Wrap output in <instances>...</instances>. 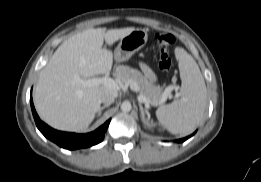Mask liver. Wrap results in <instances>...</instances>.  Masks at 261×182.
Returning <instances> with one entry per match:
<instances>
[{"label": "liver", "mask_w": 261, "mask_h": 182, "mask_svg": "<svg viewBox=\"0 0 261 182\" xmlns=\"http://www.w3.org/2000/svg\"><path fill=\"white\" fill-rule=\"evenodd\" d=\"M133 30L90 28L64 41L41 70L35 88L34 103L41 119L58 130L85 131L100 109L101 97H117L118 90L86 86L76 83L75 78L88 80L109 73L113 54L102 48L104 40L111 46Z\"/></svg>", "instance_id": "liver-1"}]
</instances>
